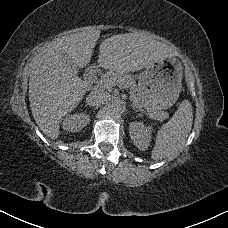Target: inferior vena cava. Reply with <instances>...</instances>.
<instances>
[{
  "instance_id": "inferior-vena-cava-1",
  "label": "inferior vena cava",
  "mask_w": 228,
  "mask_h": 228,
  "mask_svg": "<svg viewBox=\"0 0 228 228\" xmlns=\"http://www.w3.org/2000/svg\"><path fill=\"white\" fill-rule=\"evenodd\" d=\"M110 95L104 90H94L87 95L86 103L93 107H98L108 101Z\"/></svg>"
}]
</instances>
